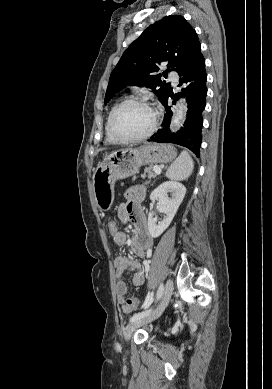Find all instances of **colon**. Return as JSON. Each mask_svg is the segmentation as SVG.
<instances>
[{
    "instance_id": "colon-1",
    "label": "colon",
    "mask_w": 272,
    "mask_h": 389,
    "mask_svg": "<svg viewBox=\"0 0 272 389\" xmlns=\"http://www.w3.org/2000/svg\"><path fill=\"white\" fill-rule=\"evenodd\" d=\"M108 230L112 236L117 234L120 231L118 221L110 220L108 222ZM126 305L128 307H130L132 310H138L141 307L139 300H137L136 298H132V297L126 299Z\"/></svg>"
}]
</instances>
